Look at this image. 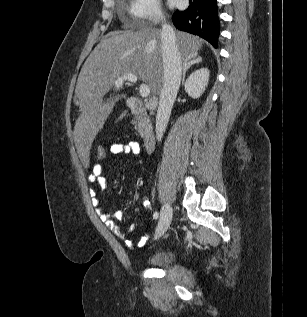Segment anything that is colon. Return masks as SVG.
<instances>
[{
	"label": "colon",
	"instance_id": "obj_1",
	"mask_svg": "<svg viewBox=\"0 0 307 317\" xmlns=\"http://www.w3.org/2000/svg\"><path fill=\"white\" fill-rule=\"evenodd\" d=\"M110 148L105 146H98L95 151V158L98 162H102L107 158Z\"/></svg>",
	"mask_w": 307,
	"mask_h": 317
}]
</instances>
